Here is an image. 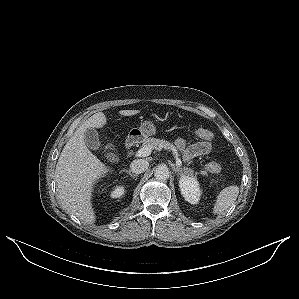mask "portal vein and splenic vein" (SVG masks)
<instances>
[{"label":"portal vein and splenic vein","mask_w":299,"mask_h":299,"mask_svg":"<svg viewBox=\"0 0 299 299\" xmlns=\"http://www.w3.org/2000/svg\"><path fill=\"white\" fill-rule=\"evenodd\" d=\"M151 151H152V148L149 147V146H146V147H143V148L139 149V150L136 152L135 156H136V157H147V156H149V155L151 154ZM175 158H176V165H177V166H181L182 162H181V160L178 158L177 155L175 156Z\"/></svg>","instance_id":"1"}]
</instances>
